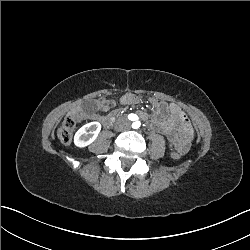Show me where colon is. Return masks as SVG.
<instances>
[{
  "label": "colon",
  "mask_w": 250,
  "mask_h": 250,
  "mask_svg": "<svg viewBox=\"0 0 250 250\" xmlns=\"http://www.w3.org/2000/svg\"><path fill=\"white\" fill-rule=\"evenodd\" d=\"M127 98H132V103H141V98H139V93H127ZM158 105H165V100H158ZM77 128V121L74 117H66L58 126L56 136L57 139L64 145L71 143L73 139L74 132ZM183 156L182 153L173 151L170 154L171 160H179Z\"/></svg>",
  "instance_id": "obj_1"
}]
</instances>
